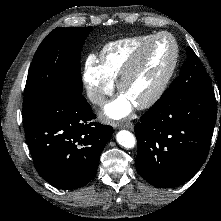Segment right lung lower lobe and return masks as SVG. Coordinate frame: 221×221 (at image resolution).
I'll list each match as a JSON object with an SVG mask.
<instances>
[{
  "instance_id": "right-lung-lower-lobe-1",
  "label": "right lung lower lobe",
  "mask_w": 221,
  "mask_h": 221,
  "mask_svg": "<svg viewBox=\"0 0 221 221\" xmlns=\"http://www.w3.org/2000/svg\"><path fill=\"white\" fill-rule=\"evenodd\" d=\"M94 118L81 93L62 92L41 101L23 119L35 168L44 180L72 190L95 176L113 128L93 123Z\"/></svg>"
}]
</instances>
